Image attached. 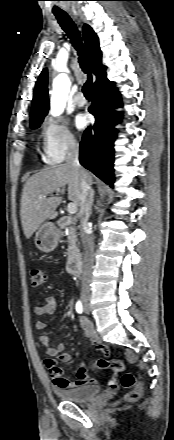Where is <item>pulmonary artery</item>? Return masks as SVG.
<instances>
[{"instance_id": "1", "label": "pulmonary artery", "mask_w": 174, "mask_h": 440, "mask_svg": "<svg viewBox=\"0 0 174 440\" xmlns=\"http://www.w3.org/2000/svg\"><path fill=\"white\" fill-rule=\"evenodd\" d=\"M74 102L77 106L83 107L86 104V99L84 98L83 94L79 93L75 96Z\"/></svg>"}]
</instances>
